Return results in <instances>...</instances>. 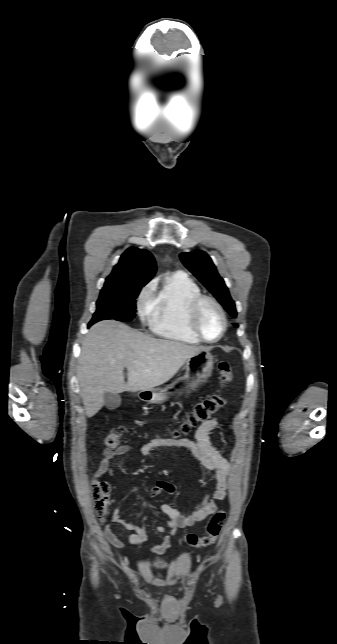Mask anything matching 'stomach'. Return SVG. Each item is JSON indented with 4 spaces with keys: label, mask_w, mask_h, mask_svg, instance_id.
I'll use <instances>...</instances> for the list:
<instances>
[{
    "label": "stomach",
    "mask_w": 337,
    "mask_h": 644,
    "mask_svg": "<svg viewBox=\"0 0 337 644\" xmlns=\"http://www.w3.org/2000/svg\"><path fill=\"white\" fill-rule=\"evenodd\" d=\"M185 374L163 389L142 391L140 398L154 404H161L171 396L188 397L196 392L207 381L213 370V356L207 349H202L185 364Z\"/></svg>",
    "instance_id": "1"
}]
</instances>
